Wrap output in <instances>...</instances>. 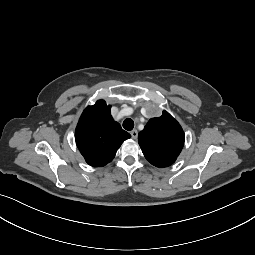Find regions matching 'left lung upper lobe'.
Masks as SVG:
<instances>
[{"label":"left lung upper lobe","instance_id":"5c2ea615","mask_svg":"<svg viewBox=\"0 0 255 255\" xmlns=\"http://www.w3.org/2000/svg\"><path fill=\"white\" fill-rule=\"evenodd\" d=\"M138 143L145 158L156 167L172 165L184 145L180 124L166 111L151 118L138 135Z\"/></svg>","mask_w":255,"mask_h":255}]
</instances>
